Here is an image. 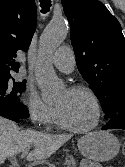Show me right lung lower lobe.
<instances>
[{
	"instance_id": "98d812e1",
	"label": "right lung lower lobe",
	"mask_w": 125,
	"mask_h": 167,
	"mask_svg": "<svg viewBox=\"0 0 125 167\" xmlns=\"http://www.w3.org/2000/svg\"><path fill=\"white\" fill-rule=\"evenodd\" d=\"M0 116L17 121L29 117L28 109L22 103L0 100Z\"/></svg>"
}]
</instances>
